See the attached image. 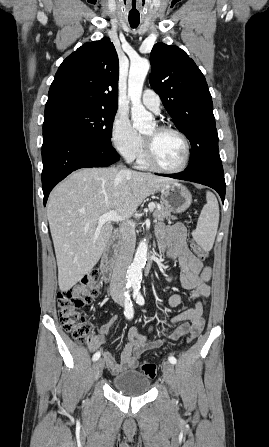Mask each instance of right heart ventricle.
<instances>
[{"mask_svg": "<svg viewBox=\"0 0 269 447\" xmlns=\"http://www.w3.org/2000/svg\"><path fill=\"white\" fill-rule=\"evenodd\" d=\"M136 159H137V164L140 165L141 167H147L148 166V164H147V162L145 160V151H144L143 140H142V145H141L140 151H139Z\"/></svg>", "mask_w": 269, "mask_h": 447, "instance_id": "right-heart-ventricle-1", "label": "right heart ventricle"}]
</instances>
